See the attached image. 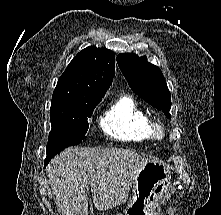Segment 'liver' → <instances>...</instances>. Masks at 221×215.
<instances>
[{
  "instance_id": "liver-1",
  "label": "liver",
  "mask_w": 221,
  "mask_h": 215,
  "mask_svg": "<svg viewBox=\"0 0 221 215\" xmlns=\"http://www.w3.org/2000/svg\"><path fill=\"white\" fill-rule=\"evenodd\" d=\"M150 162L131 150L71 147L48 165L49 183L63 215H88V190L95 208L110 210L126 201L132 180Z\"/></svg>"
}]
</instances>
